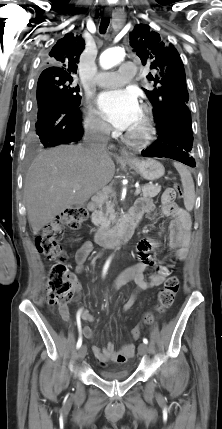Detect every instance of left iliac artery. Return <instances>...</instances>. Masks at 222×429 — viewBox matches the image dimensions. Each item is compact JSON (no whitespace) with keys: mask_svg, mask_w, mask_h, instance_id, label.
<instances>
[{"mask_svg":"<svg viewBox=\"0 0 222 429\" xmlns=\"http://www.w3.org/2000/svg\"><path fill=\"white\" fill-rule=\"evenodd\" d=\"M143 342H144L145 344H148V340H147V338H143Z\"/></svg>","mask_w":222,"mask_h":429,"instance_id":"obj_1","label":"left iliac artery"}]
</instances>
